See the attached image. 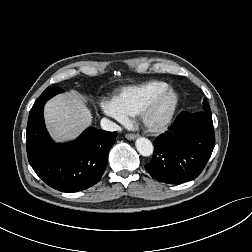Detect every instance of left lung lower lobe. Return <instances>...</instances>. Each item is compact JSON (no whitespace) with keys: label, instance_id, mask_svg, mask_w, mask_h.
Wrapping results in <instances>:
<instances>
[{"label":"left lung lower lobe","instance_id":"0a47b994","mask_svg":"<svg viewBox=\"0 0 252 252\" xmlns=\"http://www.w3.org/2000/svg\"><path fill=\"white\" fill-rule=\"evenodd\" d=\"M152 160L145 165L158 181L179 184L198 177L215 146L212 114L182 112L156 138Z\"/></svg>","mask_w":252,"mask_h":252}]
</instances>
